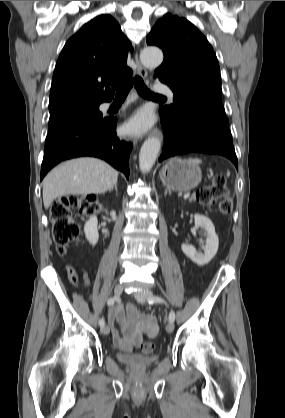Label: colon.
<instances>
[{"instance_id":"5ec220e1","label":"colon","mask_w":285,"mask_h":418,"mask_svg":"<svg viewBox=\"0 0 285 418\" xmlns=\"http://www.w3.org/2000/svg\"><path fill=\"white\" fill-rule=\"evenodd\" d=\"M196 198L205 207L212 206L216 201H219L218 208L222 214H228L232 209L231 196L222 175H217L210 185L199 189ZM96 210L95 203L90 202L84 196L77 195L62 196L53 204L50 219L53 227V239L59 254H65L68 245L79 236L80 229L73 217L81 212L91 215ZM154 350V343H143L142 351L144 353H152Z\"/></svg>"}]
</instances>
